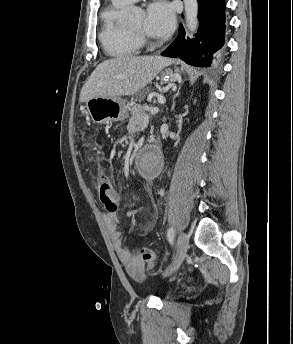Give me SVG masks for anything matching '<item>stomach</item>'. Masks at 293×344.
<instances>
[{"instance_id": "obj_1", "label": "stomach", "mask_w": 293, "mask_h": 344, "mask_svg": "<svg viewBox=\"0 0 293 344\" xmlns=\"http://www.w3.org/2000/svg\"><path fill=\"white\" fill-rule=\"evenodd\" d=\"M180 79L179 73H174L170 69L161 73L163 82H174ZM86 108L93 122L98 124L122 121L129 115L125 101L120 97L91 98L86 102Z\"/></svg>"}]
</instances>
